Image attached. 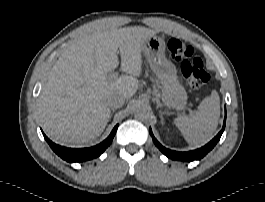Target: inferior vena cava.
<instances>
[{
  "label": "inferior vena cava",
  "instance_id": "1",
  "mask_svg": "<svg viewBox=\"0 0 265 202\" xmlns=\"http://www.w3.org/2000/svg\"><path fill=\"white\" fill-rule=\"evenodd\" d=\"M125 96L119 93H113L106 98V104L111 109H117L123 106Z\"/></svg>",
  "mask_w": 265,
  "mask_h": 202
}]
</instances>
